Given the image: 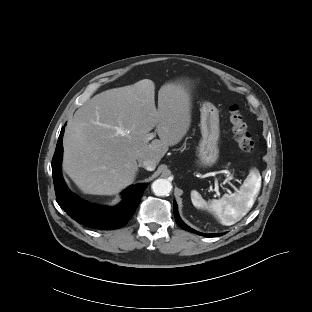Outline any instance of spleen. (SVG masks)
Returning <instances> with one entry per match:
<instances>
[{
	"instance_id": "spleen-1",
	"label": "spleen",
	"mask_w": 312,
	"mask_h": 312,
	"mask_svg": "<svg viewBox=\"0 0 312 312\" xmlns=\"http://www.w3.org/2000/svg\"><path fill=\"white\" fill-rule=\"evenodd\" d=\"M260 185L261 177L255 171L238 193L225 194L221 199L213 200L210 206L197 191L191 192V200L195 207L208 208L217 215L221 224L230 226L240 221L252 208Z\"/></svg>"
}]
</instances>
